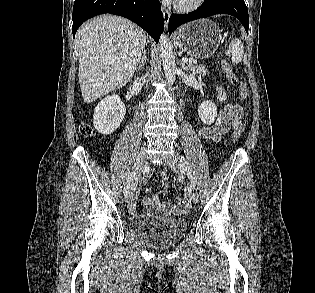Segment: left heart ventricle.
Here are the masks:
<instances>
[{"label":"left heart ventricle","mask_w":315,"mask_h":293,"mask_svg":"<svg viewBox=\"0 0 315 293\" xmlns=\"http://www.w3.org/2000/svg\"><path fill=\"white\" fill-rule=\"evenodd\" d=\"M193 0H178V2L183 3V4H187L192 2Z\"/></svg>","instance_id":"left-heart-ventricle-1"}]
</instances>
